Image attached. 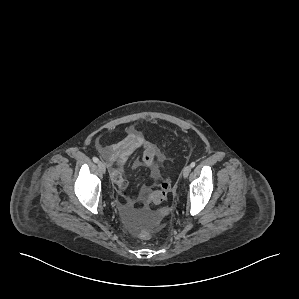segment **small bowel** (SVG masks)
Returning a JSON list of instances; mask_svg holds the SVG:
<instances>
[{
  "instance_id": "c3829d8e",
  "label": "small bowel",
  "mask_w": 299,
  "mask_h": 299,
  "mask_svg": "<svg viewBox=\"0 0 299 299\" xmlns=\"http://www.w3.org/2000/svg\"><path fill=\"white\" fill-rule=\"evenodd\" d=\"M137 149H142L143 153L141 157L133 160L131 164L132 169L145 166L151 169L153 174H157V164L163 163L165 156L155 143L147 139L143 131L134 129L116 143L99 145L102 157L110 166L112 181L123 199L120 203V208L129 219L133 218L137 213L136 204L139 201L147 202L152 193L150 187L143 186L138 195L131 194L128 191V183L122 175L129 156Z\"/></svg>"
}]
</instances>
